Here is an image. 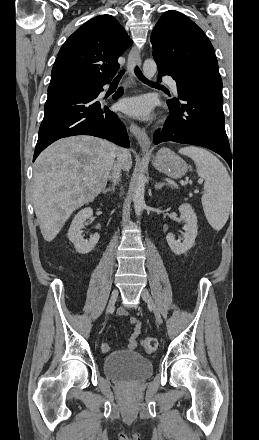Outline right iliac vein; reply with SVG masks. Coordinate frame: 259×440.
Returning <instances> with one entry per match:
<instances>
[{
  "label": "right iliac vein",
  "mask_w": 259,
  "mask_h": 440,
  "mask_svg": "<svg viewBox=\"0 0 259 440\" xmlns=\"http://www.w3.org/2000/svg\"><path fill=\"white\" fill-rule=\"evenodd\" d=\"M117 298H118V290L114 289L112 291L110 300H109L108 305H107V309H106V313L107 314L114 309V306H115Z\"/></svg>",
  "instance_id": "obj_1"
}]
</instances>
